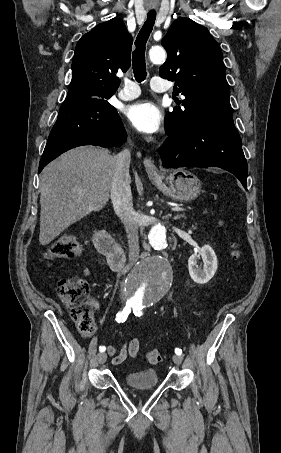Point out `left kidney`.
Instances as JSON below:
<instances>
[{
  "instance_id": "5707ae66",
  "label": "left kidney",
  "mask_w": 281,
  "mask_h": 453,
  "mask_svg": "<svg viewBox=\"0 0 281 453\" xmlns=\"http://www.w3.org/2000/svg\"><path fill=\"white\" fill-rule=\"evenodd\" d=\"M200 255L205 263L203 269H199V267H197L196 265ZM217 265V257L212 247H209V245H204V247H202V249H200L198 253L191 255L188 261L190 277L191 279H193V281H195V283L204 285V283H208V281H210V279L214 277L217 271Z\"/></svg>"
}]
</instances>
